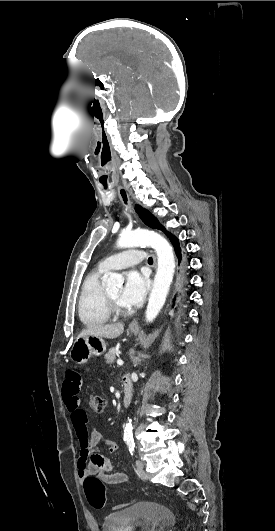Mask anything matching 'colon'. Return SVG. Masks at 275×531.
Wrapping results in <instances>:
<instances>
[{
  "mask_svg": "<svg viewBox=\"0 0 275 531\" xmlns=\"http://www.w3.org/2000/svg\"><path fill=\"white\" fill-rule=\"evenodd\" d=\"M66 372H68V370ZM81 399L83 402H89L91 409L95 413H102L104 411L105 401L102 397L96 395L94 391H83ZM84 481V494L87 497V500L91 502L92 508L98 511L109 509V506L102 505L104 489H106V486L103 484H95L97 478L93 474L86 475Z\"/></svg>",
  "mask_w": 275,
  "mask_h": 531,
  "instance_id": "obj_1",
  "label": "colon"
}]
</instances>
